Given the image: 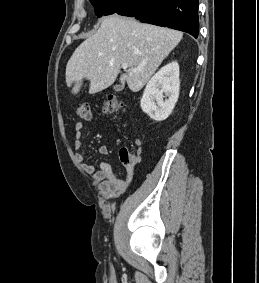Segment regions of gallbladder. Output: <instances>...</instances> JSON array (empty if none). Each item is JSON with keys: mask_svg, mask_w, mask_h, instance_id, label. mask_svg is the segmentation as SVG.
I'll use <instances>...</instances> for the list:
<instances>
[{"mask_svg": "<svg viewBox=\"0 0 259 283\" xmlns=\"http://www.w3.org/2000/svg\"><path fill=\"white\" fill-rule=\"evenodd\" d=\"M123 89V85L122 84H117L114 86V91L116 92H120Z\"/></svg>", "mask_w": 259, "mask_h": 283, "instance_id": "1", "label": "gallbladder"}]
</instances>
